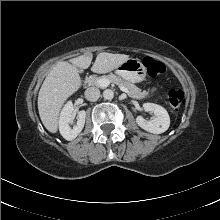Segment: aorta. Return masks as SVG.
<instances>
[{
	"label": "aorta",
	"mask_w": 220,
	"mask_h": 220,
	"mask_svg": "<svg viewBox=\"0 0 220 220\" xmlns=\"http://www.w3.org/2000/svg\"><path fill=\"white\" fill-rule=\"evenodd\" d=\"M103 97L106 100H112L114 98V92L111 89H106L103 92Z\"/></svg>",
	"instance_id": "1"
}]
</instances>
